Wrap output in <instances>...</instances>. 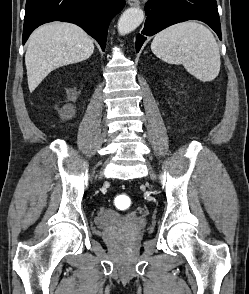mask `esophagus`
I'll return each instance as SVG.
<instances>
[{
    "instance_id": "esophagus-1",
    "label": "esophagus",
    "mask_w": 249,
    "mask_h": 294,
    "mask_svg": "<svg viewBox=\"0 0 249 294\" xmlns=\"http://www.w3.org/2000/svg\"><path fill=\"white\" fill-rule=\"evenodd\" d=\"M128 4L132 7H138L140 5L139 0H128Z\"/></svg>"
}]
</instances>
